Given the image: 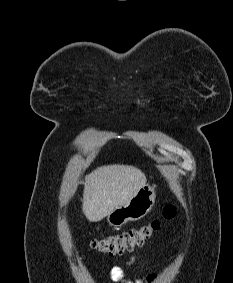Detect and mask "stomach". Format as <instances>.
Here are the masks:
<instances>
[{"mask_svg": "<svg viewBox=\"0 0 233 283\" xmlns=\"http://www.w3.org/2000/svg\"><path fill=\"white\" fill-rule=\"evenodd\" d=\"M155 198V189L149 184L144 185L124 205L107 215L109 225L119 227L143 218L152 209Z\"/></svg>", "mask_w": 233, "mask_h": 283, "instance_id": "1", "label": "stomach"}]
</instances>
